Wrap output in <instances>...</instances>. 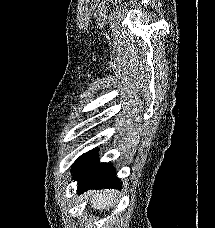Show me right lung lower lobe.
<instances>
[{
    "label": "right lung lower lobe",
    "mask_w": 215,
    "mask_h": 228,
    "mask_svg": "<svg viewBox=\"0 0 215 228\" xmlns=\"http://www.w3.org/2000/svg\"><path fill=\"white\" fill-rule=\"evenodd\" d=\"M73 178L78 180V194L88 189L121 188L115 168L111 164L100 163L97 156L76 170Z\"/></svg>",
    "instance_id": "obj_1"
}]
</instances>
